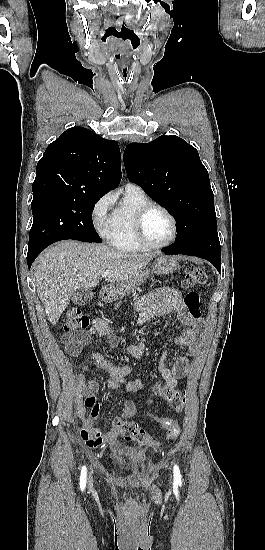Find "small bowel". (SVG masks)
<instances>
[{
    "instance_id": "1",
    "label": "small bowel",
    "mask_w": 265,
    "mask_h": 550,
    "mask_svg": "<svg viewBox=\"0 0 265 550\" xmlns=\"http://www.w3.org/2000/svg\"><path fill=\"white\" fill-rule=\"evenodd\" d=\"M135 307L139 313L138 324L140 327L146 326L149 321L157 316L175 312L183 325L182 332L173 340L174 345L187 348L185 354L176 357L171 365L166 362V353L161 356L158 364V372L164 380V385L158 389V394L163 397L162 390H177L179 379L184 378L190 370V359L193 358L201 347V338L199 328L201 323L194 319L185 311L184 302L181 293L174 287L157 288L145 296L140 297ZM105 337L111 345L119 342V337L114 333L106 319L97 318L92 326L85 332L77 334H68L62 337L66 354L69 358H76L80 355L82 348L90 344L95 336ZM125 352L132 358L140 359L145 356L146 344L143 339L125 347ZM93 368L105 370L110 374L107 381L109 389H118L124 387L128 392L137 393L143 388L141 380H126L131 372L128 365H114L107 361L101 354L91 353V363L82 367L76 375V382L82 389L85 385V375ZM87 393L95 395L99 390V385L95 380H89L85 385ZM100 406L91 414L89 418L83 416V409H78L81 416V428L79 431L81 439L90 449H96L103 444L112 443L118 436L114 429L102 432L95 426V421L99 416ZM136 414V407L132 401H127L121 411V417L124 419L132 418ZM158 423H161L162 417H151ZM163 426V425H162Z\"/></svg>"
}]
</instances>
